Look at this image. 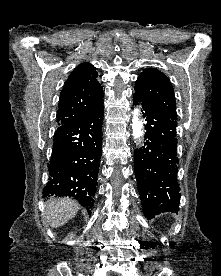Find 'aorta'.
Segmentation results:
<instances>
[{
    "label": "aorta",
    "mask_w": 221,
    "mask_h": 276,
    "mask_svg": "<svg viewBox=\"0 0 221 276\" xmlns=\"http://www.w3.org/2000/svg\"><path fill=\"white\" fill-rule=\"evenodd\" d=\"M138 116H139V110L134 109L132 128H133V136L135 139H140L142 137L143 122L138 118Z\"/></svg>",
    "instance_id": "1"
}]
</instances>
